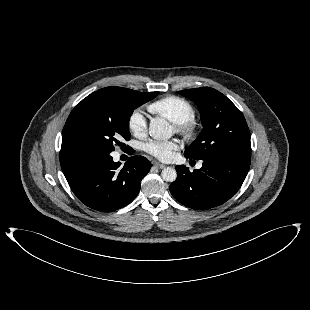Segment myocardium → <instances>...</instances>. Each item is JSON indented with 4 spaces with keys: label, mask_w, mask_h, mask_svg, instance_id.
Wrapping results in <instances>:
<instances>
[{
    "label": "myocardium",
    "mask_w": 310,
    "mask_h": 310,
    "mask_svg": "<svg viewBox=\"0 0 310 310\" xmlns=\"http://www.w3.org/2000/svg\"><path fill=\"white\" fill-rule=\"evenodd\" d=\"M176 130L180 132L186 139H193L198 132V125L194 119L175 124Z\"/></svg>",
    "instance_id": "myocardium-1"
}]
</instances>
